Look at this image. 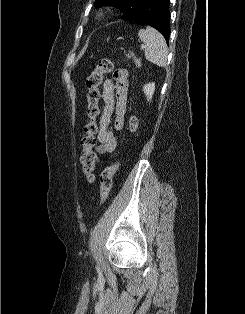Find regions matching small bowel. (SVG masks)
<instances>
[{
  "label": "small bowel",
  "instance_id": "c3829d8e",
  "mask_svg": "<svg viewBox=\"0 0 245 314\" xmlns=\"http://www.w3.org/2000/svg\"><path fill=\"white\" fill-rule=\"evenodd\" d=\"M128 93V71L117 69L111 79L103 82L104 108L99 120L96 150L100 154L113 152L118 144L115 133L109 129L110 123L116 130L124 128Z\"/></svg>",
  "mask_w": 245,
  "mask_h": 314
}]
</instances>
